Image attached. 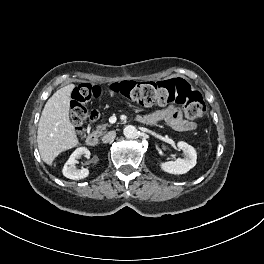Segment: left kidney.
Wrapping results in <instances>:
<instances>
[{
	"label": "left kidney",
	"mask_w": 264,
	"mask_h": 264,
	"mask_svg": "<svg viewBox=\"0 0 264 264\" xmlns=\"http://www.w3.org/2000/svg\"><path fill=\"white\" fill-rule=\"evenodd\" d=\"M178 148L185 153L184 159H177L176 161L160 162L161 169L170 174H184L193 168L197 163V153L195 149L184 141L177 143Z\"/></svg>",
	"instance_id": "left-kidney-1"
}]
</instances>
